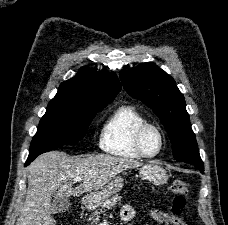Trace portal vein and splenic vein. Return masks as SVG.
Masks as SVG:
<instances>
[{
	"instance_id": "obj_1",
	"label": "portal vein and splenic vein",
	"mask_w": 228,
	"mask_h": 225,
	"mask_svg": "<svg viewBox=\"0 0 228 225\" xmlns=\"http://www.w3.org/2000/svg\"><path fill=\"white\" fill-rule=\"evenodd\" d=\"M73 181H76V183H77V181H81V177H75V179H73Z\"/></svg>"
}]
</instances>
